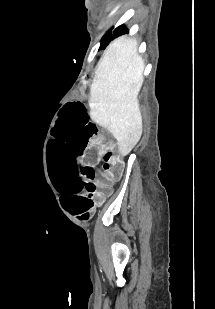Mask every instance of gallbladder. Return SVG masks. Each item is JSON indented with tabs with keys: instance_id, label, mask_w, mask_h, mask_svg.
Listing matches in <instances>:
<instances>
[{
	"instance_id": "obj_1",
	"label": "gallbladder",
	"mask_w": 215,
	"mask_h": 309,
	"mask_svg": "<svg viewBox=\"0 0 215 309\" xmlns=\"http://www.w3.org/2000/svg\"><path fill=\"white\" fill-rule=\"evenodd\" d=\"M102 134H106V131H102ZM108 134H111V131H108Z\"/></svg>"
}]
</instances>
